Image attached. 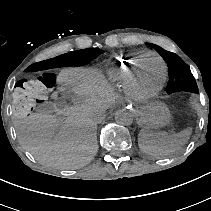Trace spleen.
<instances>
[{
	"mask_svg": "<svg viewBox=\"0 0 211 211\" xmlns=\"http://www.w3.org/2000/svg\"><path fill=\"white\" fill-rule=\"evenodd\" d=\"M190 137V129H184L177 134L153 132L145 128L138 134L140 150L149 154L162 156L184 145Z\"/></svg>",
	"mask_w": 211,
	"mask_h": 211,
	"instance_id": "1",
	"label": "spleen"
}]
</instances>
